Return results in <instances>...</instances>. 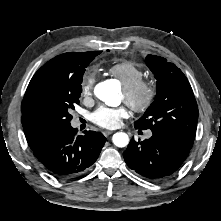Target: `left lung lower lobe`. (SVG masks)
I'll list each match as a JSON object with an SVG mask.
<instances>
[{
	"instance_id": "obj_1",
	"label": "left lung lower lobe",
	"mask_w": 221,
	"mask_h": 221,
	"mask_svg": "<svg viewBox=\"0 0 221 221\" xmlns=\"http://www.w3.org/2000/svg\"><path fill=\"white\" fill-rule=\"evenodd\" d=\"M190 149L163 135L153 133L150 139H132L123 152L126 164L150 180H161L175 173L186 160Z\"/></svg>"
}]
</instances>
